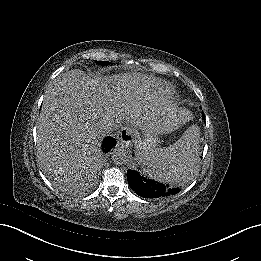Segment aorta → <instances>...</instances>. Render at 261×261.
Segmentation results:
<instances>
[{
  "label": "aorta",
  "mask_w": 261,
  "mask_h": 261,
  "mask_svg": "<svg viewBox=\"0 0 261 261\" xmlns=\"http://www.w3.org/2000/svg\"><path fill=\"white\" fill-rule=\"evenodd\" d=\"M112 159L116 164L123 165L129 163L130 157L124 147L118 145L112 152Z\"/></svg>",
  "instance_id": "aorta-1"
}]
</instances>
